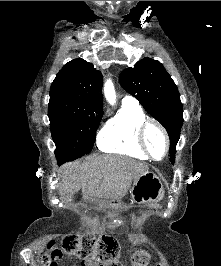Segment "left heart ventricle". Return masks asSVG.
Instances as JSON below:
<instances>
[{"mask_svg": "<svg viewBox=\"0 0 221 266\" xmlns=\"http://www.w3.org/2000/svg\"><path fill=\"white\" fill-rule=\"evenodd\" d=\"M146 140L152 155L160 158L165 148L164 138L161 133L155 127H150L146 134Z\"/></svg>", "mask_w": 221, "mask_h": 266, "instance_id": "obj_1", "label": "left heart ventricle"}]
</instances>
